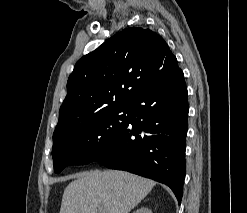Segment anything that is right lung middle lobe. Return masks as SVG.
I'll return each instance as SVG.
<instances>
[{
    "label": "right lung middle lobe",
    "mask_w": 247,
    "mask_h": 213,
    "mask_svg": "<svg viewBox=\"0 0 247 213\" xmlns=\"http://www.w3.org/2000/svg\"><path fill=\"white\" fill-rule=\"evenodd\" d=\"M130 104L110 108L89 121L53 138L55 173L67 165L87 164L113 146L119 130L128 123Z\"/></svg>",
    "instance_id": "1"
}]
</instances>
